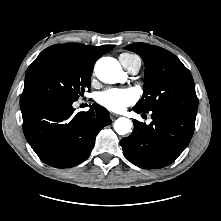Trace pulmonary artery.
I'll return each instance as SVG.
<instances>
[{
    "instance_id": "obj_1",
    "label": "pulmonary artery",
    "mask_w": 221,
    "mask_h": 221,
    "mask_svg": "<svg viewBox=\"0 0 221 221\" xmlns=\"http://www.w3.org/2000/svg\"><path fill=\"white\" fill-rule=\"evenodd\" d=\"M119 60L129 74L135 75L140 70L141 61L138 57L133 59L119 58Z\"/></svg>"
}]
</instances>
